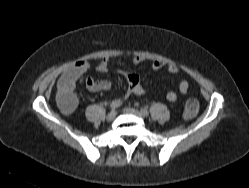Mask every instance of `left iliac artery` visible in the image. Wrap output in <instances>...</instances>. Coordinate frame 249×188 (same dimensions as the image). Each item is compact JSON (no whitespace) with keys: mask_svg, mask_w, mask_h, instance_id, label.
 <instances>
[{"mask_svg":"<svg viewBox=\"0 0 249 188\" xmlns=\"http://www.w3.org/2000/svg\"><path fill=\"white\" fill-rule=\"evenodd\" d=\"M141 113L144 115V116H148L149 115V112L146 108H142L141 109Z\"/></svg>","mask_w":249,"mask_h":188,"instance_id":"44dca946","label":"left iliac artery"}]
</instances>
